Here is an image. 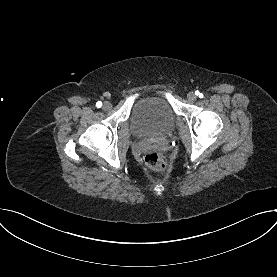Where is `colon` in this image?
<instances>
[{"label":"colon","instance_id":"colon-1","mask_svg":"<svg viewBox=\"0 0 277 277\" xmlns=\"http://www.w3.org/2000/svg\"><path fill=\"white\" fill-rule=\"evenodd\" d=\"M144 160L150 168L158 171L164 170L168 165L165 155L157 151L147 153Z\"/></svg>","mask_w":277,"mask_h":277}]
</instances>
